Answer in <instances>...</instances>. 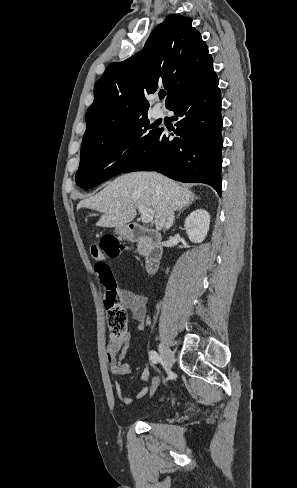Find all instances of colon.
<instances>
[{"instance_id": "1", "label": "colon", "mask_w": 297, "mask_h": 488, "mask_svg": "<svg viewBox=\"0 0 297 488\" xmlns=\"http://www.w3.org/2000/svg\"><path fill=\"white\" fill-rule=\"evenodd\" d=\"M124 250V245L119 243L118 239L113 235H105L99 246L94 245L91 248V255L96 260L95 272L105 288L104 302L107 310L110 339L115 347L120 345V342L126 335V315L122 308L116 279L111 267L104 260V255L114 258L118 257ZM154 380L150 384L151 389L148 391L149 397L156 396L158 392L160 377L155 376Z\"/></svg>"}]
</instances>
